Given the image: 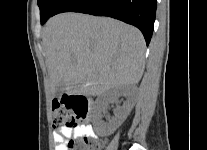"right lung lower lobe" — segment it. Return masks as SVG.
I'll list each match as a JSON object with an SVG mask.
<instances>
[{"label":"right lung lower lobe","mask_w":207,"mask_h":150,"mask_svg":"<svg viewBox=\"0 0 207 150\" xmlns=\"http://www.w3.org/2000/svg\"><path fill=\"white\" fill-rule=\"evenodd\" d=\"M156 5V0H63L54 15L73 11L113 17L139 28L148 45L153 33Z\"/></svg>","instance_id":"right-lung-lower-lobe-1"}]
</instances>
